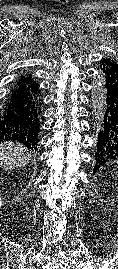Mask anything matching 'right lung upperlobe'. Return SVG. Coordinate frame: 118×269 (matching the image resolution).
Returning <instances> with one entry per match:
<instances>
[{
  "mask_svg": "<svg viewBox=\"0 0 118 269\" xmlns=\"http://www.w3.org/2000/svg\"><path fill=\"white\" fill-rule=\"evenodd\" d=\"M31 83H35V82L33 81V79L30 76L22 77L17 82V84H31ZM41 105H42V103L40 101L39 105H38L39 115L41 114Z\"/></svg>",
  "mask_w": 118,
  "mask_h": 269,
  "instance_id": "obj_1",
  "label": "right lung upper lobe"
}]
</instances>
